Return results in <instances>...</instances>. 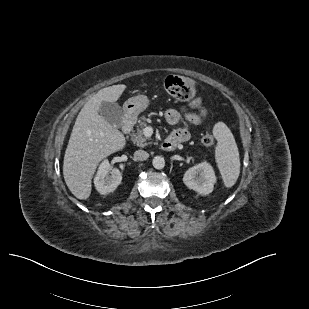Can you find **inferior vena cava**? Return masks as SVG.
I'll return each mask as SVG.
<instances>
[{"mask_svg":"<svg viewBox=\"0 0 309 309\" xmlns=\"http://www.w3.org/2000/svg\"><path fill=\"white\" fill-rule=\"evenodd\" d=\"M149 154L144 150H137L134 152V159L138 161H143L148 159Z\"/></svg>","mask_w":309,"mask_h":309,"instance_id":"obj_1","label":"inferior vena cava"}]
</instances>
